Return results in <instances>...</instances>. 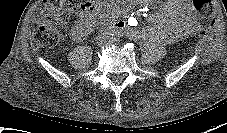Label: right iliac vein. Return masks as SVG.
<instances>
[{
    "label": "right iliac vein",
    "instance_id": "obj_1",
    "mask_svg": "<svg viewBox=\"0 0 227 133\" xmlns=\"http://www.w3.org/2000/svg\"><path fill=\"white\" fill-rule=\"evenodd\" d=\"M108 39L110 40V37H108V36L100 37V38L98 39V43H99V44L105 43Z\"/></svg>",
    "mask_w": 227,
    "mask_h": 133
}]
</instances>
